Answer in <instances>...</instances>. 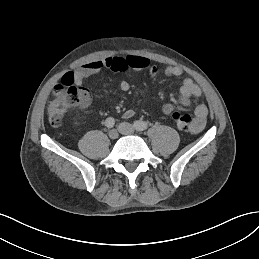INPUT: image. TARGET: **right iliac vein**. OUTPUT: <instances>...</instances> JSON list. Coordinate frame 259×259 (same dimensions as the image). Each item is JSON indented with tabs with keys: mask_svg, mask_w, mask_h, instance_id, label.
<instances>
[{
	"mask_svg": "<svg viewBox=\"0 0 259 259\" xmlns=\"http://www.w3.org/2000/svg\"><path fill=\"white\" fill-rule=\"evenodd\" d=\"M108 135L110 139L114 140L118 137V131L116 129H112L109 131Z\"/></svg>",
	"mask_w": 259,
	"mask_h": 259,
	"instance_id": "right-iliac-vein-1",
	"label": "right iliac vein"
}]
</instances>
